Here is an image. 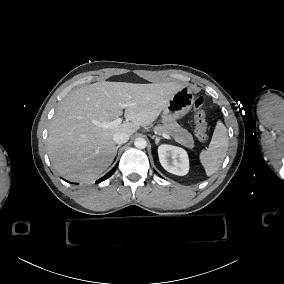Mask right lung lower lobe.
<instances>
[{
    "label": "right lung lower lobe",
    "instance_id": "obj_1",
    "mask_svg": "<svg viewBox=\"0 0 284 284\" xmlns=\"http://www.w3.org/2000/svg\"><path fill=\"white\" fill-rule=\"evenodd\" d=\"M118 163L115 165L114 168H112L105 176H103L102 178H100L98 181H96V183L101 182L103 180H106L107 178H109L115 171V169L117 168Z\"/></svg>",
    "mask_w": 284,
    "mask_h": 284
}]
</instances>
